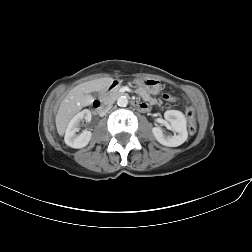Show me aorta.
Masks as SVG:
<instances>
[{"instance_id": "1", "label": "aorta", "mask_w": 252, "mask_h": 252, "mask_svg": "<svg viewBox=\"0 0 252 252\" xmlns=\"http://www.w3.org/2000/svg\"><path fill=\"white\" fill-rule=\"evenodd\" d=\"M117 104L120 107H126L128 105V98L126 96H120L117 99Z\"/></svg>"}]
</instances>
